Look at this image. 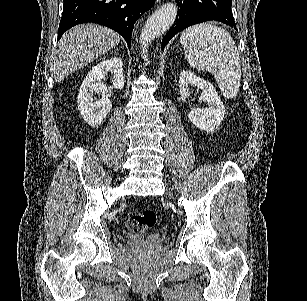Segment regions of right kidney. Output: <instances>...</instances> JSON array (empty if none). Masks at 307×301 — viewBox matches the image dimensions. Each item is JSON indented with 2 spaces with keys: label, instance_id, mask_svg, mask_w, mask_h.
Wrapping results in <instances>:
<instances>
[{
  "label": "right kidney",
  "instance_id": "obj_1",
  "mask_svg": "<svg viewBox=\"0 0 307 301\" xmlns=\"http://www.w3.org/2000/svg\"><path fill=\"white\" fill-rule=\"evenodd\" d=\"M107 72H111V86L109 88H124L123 62L120 56H112L101 60L89 70L78 92V110L89 126H99L112 108L108 98L109 90L101 78H105ZM93 92L102 94V98L93 102Z\"/></svg>",
  "mask_w": 307,
  "mask_h": 301
}]
</instances>
